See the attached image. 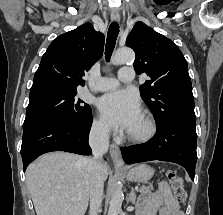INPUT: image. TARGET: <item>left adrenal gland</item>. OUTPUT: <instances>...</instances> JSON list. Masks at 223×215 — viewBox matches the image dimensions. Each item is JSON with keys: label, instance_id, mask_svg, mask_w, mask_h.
<instances>
[{"label": "left adrenal gland", "instance_id": "a2214340", "mask_svg": "<svg viewBox=\"0 0 223 215\" xmlns=\"http://www.w3.org/2000/svg\"><path fill=\"white\" fill-rule=\"evenodd\" d=\"M136 197H137V195L134 191V187H131V191H130L129 197H128L129 201H131V203H135Z\"/></svg>", "mask_w": 223, "mask_h": 215}]
</instances>
